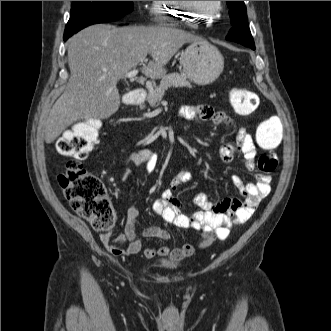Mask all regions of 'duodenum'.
<instances>
[{
    "mask_svg": "<svg viewBox=\"0 0 331 331\" xmlns=\"http://www.w3.org/2000/svg\"><path fill=\"white\" fill-rule=\"evenodd\" d=\"M126 97L130 105H139L144 101V93L142 89L133 90L129 92Z\"/></svg>",
    "mask_w": 331,
    "mask_h": 331,
    "instance_id": "obj_1",
    "label": "duodenum"
}]
</instances>
